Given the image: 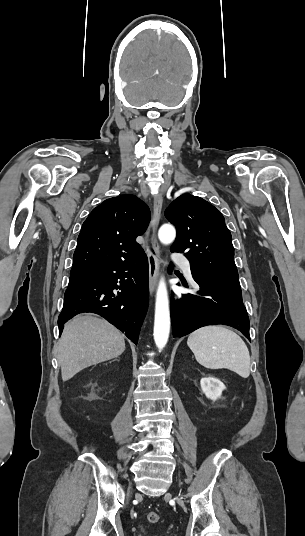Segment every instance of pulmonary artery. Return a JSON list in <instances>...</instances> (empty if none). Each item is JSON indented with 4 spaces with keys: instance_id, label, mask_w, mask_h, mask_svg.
<instances>
[{
    "instance_id": "e3ab8cb5",
    "label": "pulmonary artery",
    "mask_w": 305,
    "mask_h": 536,
    "mask_svg": "<svg viewBox=\"0 0 305 536\" xmlns=\"http://www.w3.org/2000/svg\"><path fill=\"white\" fill-rule=\"evenodd\" d=\"M171 260L175 263H180L181 268L183 269L185 275L193 281L192 277V270H191V264L189 260H185V256L183 254H175L171 257Z\"/></svg>"
}]
</instances>
